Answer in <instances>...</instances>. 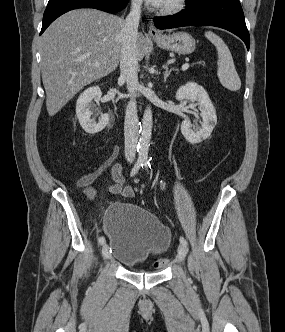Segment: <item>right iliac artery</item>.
<instances>
[{"mask_svg":"<svg viewBox=\"0 0 285 332\" xmlns=\"http://www.w3.org/2000/svg\"><path fill=\"white\" fill-rule=\"evenodd\" d=\"M143 165H144L143 161L138 160L136 162V164L134 165V167L132 168L130 176L131 177L134 176L139 171V169L141 167H143ZM98 242H99L100 245L104 244L105 238L103 236H100L99 239H98Z\"/></svg>","mask_w":285,"mask_h":332,"instance_id":"obj_1","label":"right iliac artery"}]
</instances>
